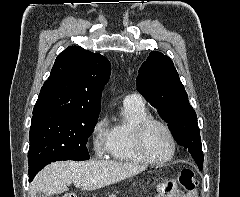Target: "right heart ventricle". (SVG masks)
Instances as JSON below:
<instances>
[{"mask_svg":"<svg viewBox=\"0 0 240 197\" xmlns=\"http://www.w3.org/2000/svg\"><path fill=\"white\" fill-rule=\"evenodd\" d=\"M124 121L116 123L109 129L107 154L110 159L130 163L143 164L145 161L137 153L133 140V127L148 117L145 106L123 105Z\"/></svg>","mask_w":240,"mask_h":197,"instance_id":"obj_1","label":"right heart ventricle"}]
</instances>
